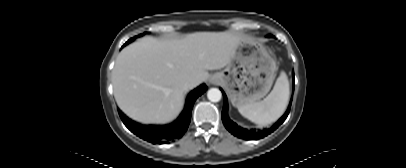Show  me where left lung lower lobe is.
Masks as SVG:
<instances>
[{"mask_svg": "<svg viewBox=\"0 0 406 168\" xmlns=\"http://www.w3.org/2000/svg\"><path fill=\"white\" fill-rule=\"evenodd\" d=\"M293 86H295L294 83V78H293ZM223 96H224V106H223V110H222V121L223 124L225 126V128L231 132L234 136H237L239 138L242 139H246V140H258L260 138H263L264 136H267L268 134H270L271 132H273L278 126L274 125L271 129L269 130H264V131H259V132H252V131H248L244 128H241L240 126H238L237 124H235L233 121H231L228 117V103H227V98L225 93L222 91ZM291 103H292V99L290 101L289 107L287 109V111L285 112V114L278 120L277 124H282L285 119L287 118L289 111H290V107H291Z\"/></svg>", "mask_w": 406, "mask_h": 168, "instance_id": "0a47b994", "label": "left lung lower lobe"}]
</instances>
